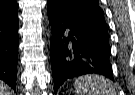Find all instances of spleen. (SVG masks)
Segmentation results:
<instances>
[{
    "label": "spleen",
    "mask_w": 135,
    "mask_h": 95,
    "mask_svg": "<svg viewBox=\"0 0 135 95\" xmlns=\"http://www.w3.org/2000/svg\"><path fill=\"white\" fill-rule=\"evenodd\" d=\"M77 95H115L112 83L103 76L84 75L75 79Z\"/></svg>",
    "instance_id": "obj_1"
}]
</instances>
